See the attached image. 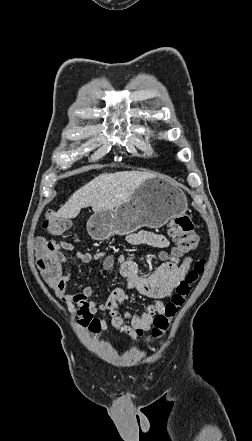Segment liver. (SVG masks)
<instances>
[{
	"instance_id": "1",
	"label": "liver",
	"mask_w": 252,
	"mask_h": 441,
	"mask_svg": "<svg viewBox=\"0 0 252 441\" xmlns=\"http://www.w3.org/2000/svg\"><path fill=\"white\" fill-rule=\"evenodd\" d=\"M154 176L143 171L102 173L74 192L56 216L75 218L82 208L89 206L94 212L111 211L130 198L146 179Z\"/></svg>"
}]
</instances>
